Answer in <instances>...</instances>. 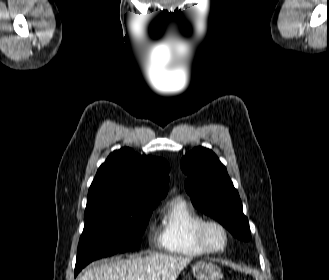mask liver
I'll list each match as a JSON object with an SVG mask.
<instances>
[{
    "label": "liver",
    "mask_w": 329,
    "mask_h": 280,
    "mask_svg": "<svg viewBox=\"0 0 329 280\" xmlns=\"http://www.w3.org/2000/svg\"><path fill=\"white\" fill-rule=\"evenodd\" d=\"M192 257L150 254L85 269L78 280H176Z\"/></svg>",
    "instance_id": "obj_1"
}]
</instances>
